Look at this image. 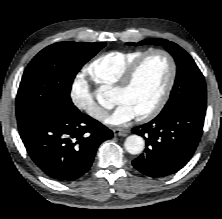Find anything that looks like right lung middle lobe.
Returning <instances> with one entry per match:
<instances>
[{
    "mask_svg": "<svg viewBox=\"0 0 222 219\" xmlns=\"http://www.w3.org/2000/svg\"><path fill=\"white\" fill-rule=\"evenodd\" d=\"M106 43L58 42L40 51L23 74L16 97L18 125L37 118L57 103L73 104L75 75Z\"/></svg>",
    "mask_w": 222,
    "mask_h": 219,
    "instance_id": "obj_1",
    "label": "right lung middle lobe"
}]
</instances>
